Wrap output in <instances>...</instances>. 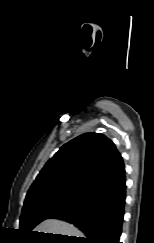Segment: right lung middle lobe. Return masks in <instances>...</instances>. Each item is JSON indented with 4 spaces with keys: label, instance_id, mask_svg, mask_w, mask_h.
Returning a JSON list of instances; mask_svg holds the SVG:
<instances>
[{
    "label": "right lung middle lobe",
    "instance_id": "obj_1",
    "mask_svg": "<svg viewBox=\"0 0 154 243\" xmlns=\"http://www.w3.org/2000/svg\"><path fill=\"white\" fill-rule=\"evenodd\" d=\"M86 200L74 196L51 195L27 201L24 203L20 217V231L22 234H30L32 229L43 220L78 207Z\"/></svg>",
    "mask_w": 154,
    "mask_h": 243
}]
</instances>
